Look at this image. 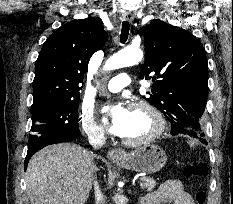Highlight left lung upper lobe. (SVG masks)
I'll use <instances>...</instances> for the list:
<instances>
[{"mask_svg":"<svg viewBox=\"0 0 233 204\" xmlns=\"http://www.w3.org/2000/svg\"><path fill=\"white\" fill-rule=\"evenodd\" d=\"M147 50L140 78L154 84L145 98L171 123L172 135L202 138L208 96V63L202 44L188 31L154 19L144 29Z\"/></svg>","mask_w":233,"mask_h":204,"instance_id":"1","label":"left lung upper lobe"}]
</instances>
